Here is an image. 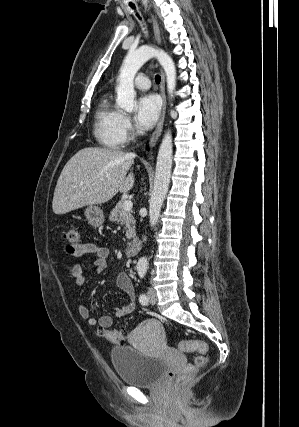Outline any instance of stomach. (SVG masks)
<instances>
[{
    "label": "stomach",
    "mask_w": 299,
    "mask_h": 427,
    "mask_svg": "<svg viewBox=\"0 0 299 427\" xmlns=\"http://www.w3.org/2000/svg\"><path fill=\"white\" fill-rule=\"evenodd\" d=\"M84 215L86 216L88 222L94 227H99L105 221L104 213L98 206L89 205L85 209Z\"/></svg>",
    "instance_id": "0dacf381"
}]
</instances>
